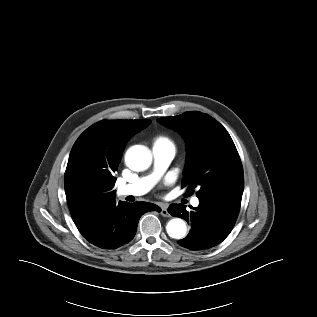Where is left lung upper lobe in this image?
<instances>
[{
  "instance_id": "1",
  "label": "left lung upper lobe",
  "mask_w": 317,
  "mask_h": 317,
  "mask_svg": "<svg viewBox=\"0 0 317 317\" xmlns=\"http://www.w3.org/2000/svg\"><path fill=\"white\" fill-rule=\"evenodd\" d=\"M157 121L178 131L187 146V163L182 187L187 195L197 189L196 196L242 194L243 167L227 130L214 118L198 111Z\"/></svg>"
}]
</instances>
